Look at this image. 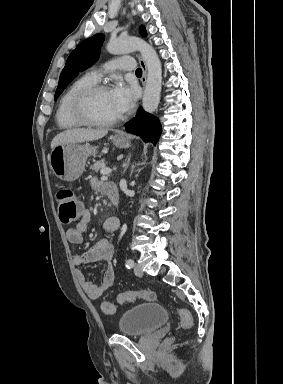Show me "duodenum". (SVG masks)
<instances>
[{
    "mask_svg": "<svg viewBox=\"0 0 283 384\" xmlns=\"http://www.w3.org/2000/svg\"><path fill=\"white\" fill-rule=\"evenodd\" d=\"M103 192L110 199L112 205L117 208L120 204L119 192L117 186L113 183H106L103 188Z\"/></svg>",
    "mask_w": 283,
    "mask_h": 384,
    "instance_id": "duodenum-1",
    "label": "duodenum"
}]
</instances>
